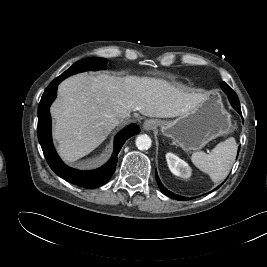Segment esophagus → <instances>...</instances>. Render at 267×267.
Here are the masks:
<instances>
[{"label": "esophagus", "mask_w": 267, "mask_h": 267, "mask_svg": "<svg viewBox=\"0 0 267 267\" xmlns=\"http://www.w3.org/2000/svg\"><path fill=\"white\" fill-rule=\"evenodd\" d=\"M156 127H157V122L155 120L150 119L144 123V129L145 130H152Z\"/></svg>", "instance_id": "esophagus-1"}]
</instances>
